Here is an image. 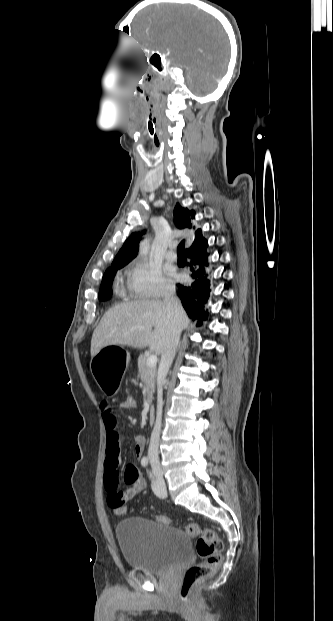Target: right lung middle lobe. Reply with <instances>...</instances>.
<instances>
[{"label":"right lung middle lobe","mask_w":333,"mask_h":621,"mask_svg":"<svg viewBox=\"0 0 333 621\" xmlns=\"http://www.w3.org/2000/svg\"><path fill=\"white\" fill-rule=\"evenodd\" d=\"M125 265H120V266H116V267H110L106 270L103 279H102V284H101V288L99 291V300L100 301H107L109 299H111L112 297V280L113 277L115 275V273L117 272L118 269L124 267Z\"/></svg>","instance_id":"obj_1"}]
</instances>
